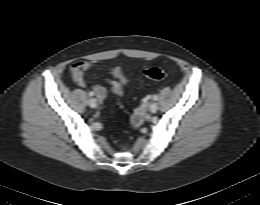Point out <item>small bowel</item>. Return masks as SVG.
<instances>
[{"instance_id":"small-bowel-1","label":"small bowel","mask_w":260,"mask_h":205,"mask_svg":"<svg viewBox=\"0 0 260 205\" xmlns=\"http://www.w3.org/2000/svg\"><path fill=\"white\" fill-rule=\"evenodd\" d=\"M92 67V63L88 61L75 62L70 68L72 81L80 88H85V73ZM111 74L113 76L110 81L112 91L116 96L121 97L124 94L123 86L128 83V78L120 67L112 68ZM91 92L101 101L106 97V89L103 86H94Z\"/></svg>"}]
</instances>
